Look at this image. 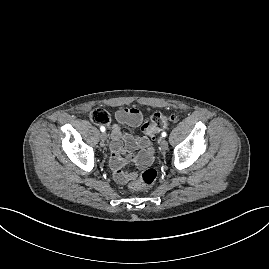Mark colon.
Instances as JSON below:
<instances>
[{
    "label": "colon",
    "instance_id": "obj_1",
    "mask_svg": "<svg viewBox=\"0 0 269 269\" xmlns=\"http://www.w3.org/2000/svg\"><path fill=\"white\" fill-rule=\"evenodd\" d=\"M91 120L95 124L108 125L111 121L109 113L102 108L94 109L90 114ZM175 116L173 114L155 113L143 127V132L148 136H154L161 130L167 128L173 121ZM157 178V171L154 168L145 169L139 178L131 183L130 187L133 190H142L153 185Z\"/></svg>",
    "mask_w": 269,
    "mask_h": 269
}]
</instances>
